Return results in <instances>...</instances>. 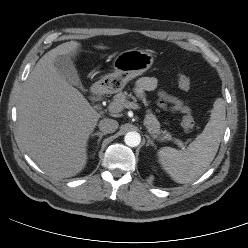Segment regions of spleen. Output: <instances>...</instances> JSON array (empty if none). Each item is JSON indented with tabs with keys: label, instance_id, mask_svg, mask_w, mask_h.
Listing matches in <instances>:
<instances>
[{
	"label": "spleen",
	"instance_id": "3e777b00",
	"mask_svg": "<svg viewBox=\"0 0 248 248\" xmlns=\"http://www.w3.org/2000/svg\"><path fill=\"white\" fill-rule=\"evenodd\" d=\"M225 117V104L219 98L214 102L210 119L203 132L186 149L163 147L157 152L158 162L175 182H193L206 171L218 151Z\"/></svg>",
	"mask_w": 248,
	"mask_h": 248
}]
</instances>
